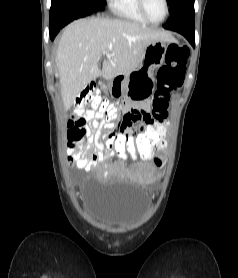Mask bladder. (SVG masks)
<instances>
[{
    "label": "bladder",
    "instance_id": "1",
    "mask_svg": "<svg viewBox=\"0 0 238 278\" xmlns=\"http://www.w3.org/2000/svg\"><path fill=\"white\" fill-rule=\"evenodd\" d=\"M84 199L91 218L100 226L115 231H127L137 226L149 208V198L141 192V186H120V181H88Z\"/></svg>",
    "mask_w": 238,
    "mask_h": 278
}]
</instances>
